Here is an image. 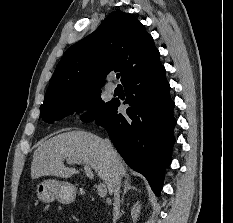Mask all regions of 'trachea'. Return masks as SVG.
Returning a JSON list of instances; mask_svg holds the SVG:
<instances>
[{"label": "trachea", "instance_id": "trachea-1", "mask_svg": "<svg viewBox=\"0 0 233 223\" xmlns=\"http://www.w3.org/2000/svg\"><path fill=\"white\" fill-rule=\"evenodd\" d=\"M116 77H117V78H120V73H117V74H116Z\"/></svg>", "mask_w": 233, "mask_h": 223}]
</instances>
